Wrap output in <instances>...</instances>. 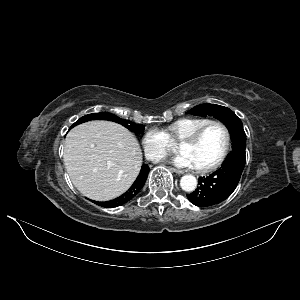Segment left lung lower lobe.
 <instances>
[{
  "mask_svg": "<svg viewBox=\"0 0 300 300\" xmlns=\"http://www.w3.org/2000/svg\"><path fill=\"white\" fill-rule=\"evenodd\" d=\"M244 152L229 153L221 168L206 178L199 177L198 187L187 195L189 201L199 207H209L221 203L235 190L245 166Z\"/></svg>",
  "mask_w": 300,
  "mask_h": 300,
  "instance_id": "0a47b994",
  "label": "left lung lower lobe"
}]
</instances>
